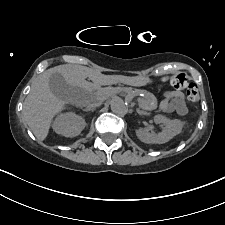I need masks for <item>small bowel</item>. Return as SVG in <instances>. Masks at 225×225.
<instances>
[{"label": "small bowel", "instance_id": "c3829d8e", "mask_svg": "<svg viewBox=\"0 0 225 225\" xmlns=\"http://www.w3.org/2000/svg\"><path fill=\"white\" fill-rule=\"evenodd\" d=\"M165 100L162 102L160 109L165 113H177L183 116L187 113V104L182 91H168L164 94Z\"/></svg>", "mask_w": 225, "mask_h": 225}]
</instances>
